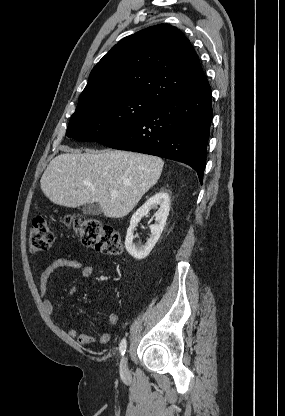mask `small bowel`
Wrapping results in <instances>:
<instances>
[{
	"mask_svg": "<svg viewBox=\"0 0 285 416\" xmlns=\"http://www.w3.org/2000/svg\"><path fill=\"white\" fill-rule=\"evenodd\" d=\"M59 268H65L70 270H76L79 272L81 277L88 278L93 273L92 266L78 262L70 257H64V258H58L54 260L48 267H46L41 275H40V281H39V294L42 299V305L43 309L46 312V314L50 317L54 314V307L51 302V300L47 297V292L50 287V280L54 272ZM81 283L72 286L69 288V290L66 293V297L70 298L72 297L80 288ZM99 315H102V312L98 313ZM118 317L115 314H109L107 316V326L109 328H114L117 325ZM66 334L72 338L77 340V342L80 345H89L93 343L98 344H106L108 343L110 339V335L108 333H102L97 337L91 336L87 333L81 332L79 329L76 328H70L66 331Z\"/></svg>",
	"mask_w": 285,
	"mask_h": 416,
	"instance_id": "c3829d8e",
	"label": "small bowel"
}]
</instances>
